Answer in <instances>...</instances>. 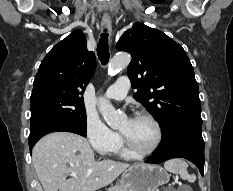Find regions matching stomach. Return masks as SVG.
I'll list each match as a JSON object with an SVG mask.
<instances>
[{
	"instance_id": "1",
	"label": "stomach",
	"mask_w": 233,
	"mask_h": 191,
	"mask_svg": "<svg viewBox=\"0 0 233 191\" xmlns=\"http://www.w3.org/2000/svg\"><path fill=\"white\" fill-rule=\"evenodd\" d=\"M169 181V174L159 165L137 164L129 167L118 185L126 191H157Z\"/></svg>"
}]
</instances>
